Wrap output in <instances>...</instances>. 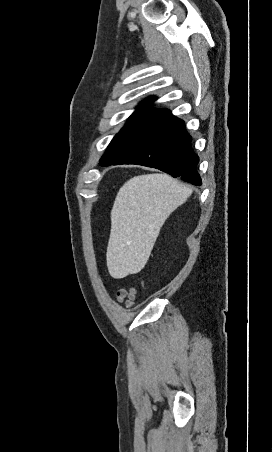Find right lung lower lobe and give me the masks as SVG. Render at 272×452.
<instances>
[{
  "label": "right lung lower lobe",
  "mask_w": 272,
  "mask_h": 452,
  "mask_svg": "<svg viewBox=\"0 0 272 452\" xmlns=\"http://www.w3.org/2000/svg\"><path fill=\"white\" fill-rule=\"evenodd\" d=\"M198 156L184 122L172 114L160 116L146 133L112 165L137 164L157 168L183 181L201 185Z\"/></svg>",
  "instance_id": "98d812e1"
}]
</instances>
